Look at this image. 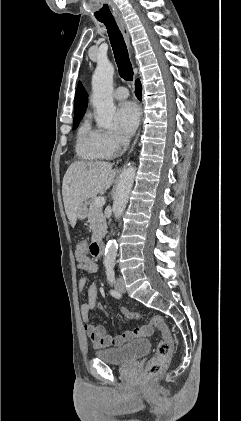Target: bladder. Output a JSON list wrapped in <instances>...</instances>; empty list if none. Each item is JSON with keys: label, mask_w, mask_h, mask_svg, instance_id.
Returning a JSON list of instances; mask_svg holds the SVG:
<instances>
[{"label": "bladder", "mask_w": 241, "mask_h": 421, "mask_svg": "<svg viewBox=\"0 0 241 421\" xmlns=\"http://www.w3.org/2000/svg\"><path fill=\"white\" fill-rule=\"evenodd\" d=\"M150 350V341L140 339L115 349H105L95 352V356L101 361L112 365H127Z\"/></svg>", "instance_id": "31cf9c89"}]
</instances>
